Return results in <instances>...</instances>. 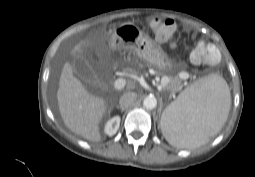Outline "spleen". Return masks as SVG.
<instances>
[{
  "label": "spleen",
  "instance_id": "3e777b00",
  "mask_svg": "<svg viewBox=\"0 0 255 177\" xmlns=\"http://www.w3.org/2000/svg\"><path fill=\"white\" fill-rule=\"evenodd\" d=\"M230 106V90L222 77L211 74L201 78L163 111V135L176 147L201 146L221 130Z\"/></svg>",
  "mask_w": 255,
  "mask_h": 177
}]
</instances>
